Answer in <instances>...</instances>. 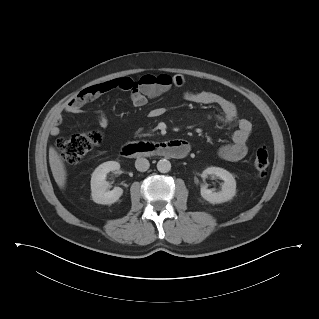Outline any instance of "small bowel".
<instances>
[{
  "label": "small bowel",
  "mask_w": 319,
  "mask_h": 319,
  "mask_svg": "<svg viewBox=\"0 0 319 319\" xmlns=\"http://www.w3.org/2000/svg\"><path fill=\"white\" fill-rule=\"evenodd\" d=\"M127 78L111 79L99 84H95L83 89L77 96L73 97L65 104L63 111L69 114H79L82 112L83 107L107 93L113 88L119 87L121 83ZM185 85V79L182 75L176 74L171 77V84L167 87L152 93H143L140 91H132L130 98L135 106L141 107L148 103L150 98L161 95L166 92L171 86L181 88ZM184 97L186 100L201 104L212 105L217 108L215 118L226 125L235 126V131L232 137V143L223 145L218 150V155L228 161H239L243 159L247 154V143L252 132V124L249 120L238 117V112L235 105L227 98L209 91H185ZM162 114L161 108H153L150 111L151 117H157ZM97 124L106 128L109 124L108 117L102 113L97 112L95 115ZM60 117H57L54 125L51 128L52 135H58L60 133Z\"/></svg>",
  "instance_id": "small-bowel-1"
}]
</instances>
